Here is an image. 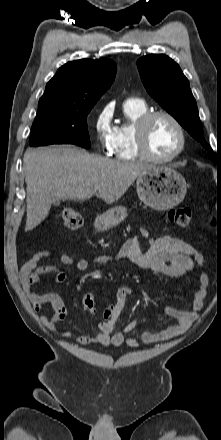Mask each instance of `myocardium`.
<instances>
[{"mask_svg": "<svg viewBox=\"0 0 221 440\" xmlns=\"http://www.w3.org/2000/svg\"><path fill=\"white\" fill-rule=\"evenodd\" d=\"M157 117H166L176 127L179 134V146L176 151L168 157L155 156L148 147L147 137L150 123ZM135 142L139 155L152 162L169 163L179 157L186 147V133L181 122L170 112L165 110L148 111L139 118L135 125Z\"/></svg>", "mask_w": 221, "mask_h": 440, "instance_id": "myocardium-1", "label": "myocardium"}]
</instances>
